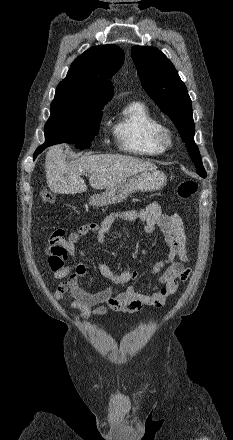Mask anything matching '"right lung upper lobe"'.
I'll return each mask as SVG.
<instances>
[{"mask_svg":"<svg viewBox=\"0 0 233 440\" xmlns=\"http://www.w3.org/2000/svg\"><path fill=\"white\" fill-rule=\"evenodd\" d=\"M124 52L116 45L95 46L77 57L56 89L53 103L105 105L113 96L109 80L121 67Z\"/></svg>","mask_w":233,"mask_h":440,"instance_id":"1","label":"right lung upper lobe"}]
</instances>
